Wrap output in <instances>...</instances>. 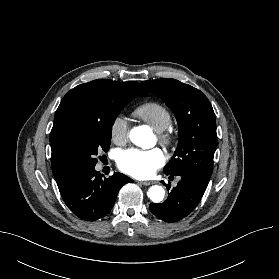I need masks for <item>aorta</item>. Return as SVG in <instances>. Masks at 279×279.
Returning <instances> with one entry per match:
<instances>
[{
    "mask_svg": "<svg viewBox=\"0 0 279 279\" xmlns=\"http://www.w3.org/2000/svg\"><path fill=\"white\" fill-rule=\"evenodd\" d=\"M150 138H151L150 132L142 126L135 127L130 131V139L137 146L147 148L149 146L148 144ZM164 196H165V190L162 186L153 185L148 190V197L154 203L161 202L164 199Z\"/></svg>",
    "mask_w": 279,
    "mask_h": 279,
    "instance_id": "obj_1",
    "label": "aorta"
}]
</instances>
